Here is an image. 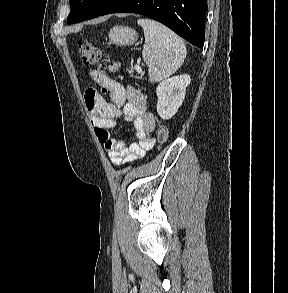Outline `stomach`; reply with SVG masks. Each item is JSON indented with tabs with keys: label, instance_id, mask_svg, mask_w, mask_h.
<instances>
[{
	"label": "stomach",
	"instance_id": "stomach-1",
	"mask_svg": "<svg viewBox=\"0 0 288 293\" xmlns=\"http://www.w3.org/2000/svg\"><path fill=\"white\" fill-rule=\"evenodd\" d=\"M108 36L111 43L120 46L133 45L138 39L137 32L128 26H114Z\"/></svg>",
	"mask_w": 288,
	"mask_h": 293
}]
</instances>
